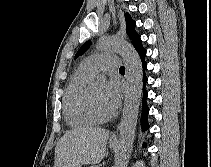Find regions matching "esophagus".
I'll return each mask as SVG.
<instances>
[{"instance_id":"1","label":"esophagus","mask_w":211,"mask_h":167,"mask_svg":"<svg viewBox=\"0 0 211 167\" xmlns=\"http://www.w3.org/2000/svg\"><path fill=\"white\" fill-rule=\"evenodd\" d=\"M118 128H119V126H117L116 131L111 136V138H110L111 141H117V139H118Z\"/></svg>"}]
</instances>
